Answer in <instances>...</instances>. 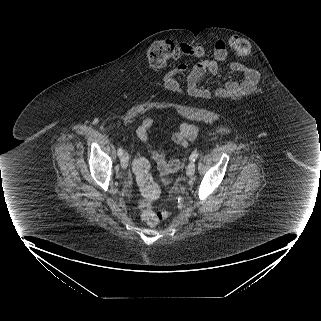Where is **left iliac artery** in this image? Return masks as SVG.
Returning <instances> with one entry per match:
<instances>
[{
    "label": "left iliac artery",
    "mask_w": 321,
    "mask_h": 321,
    "mask_svg": "<svg viewBox=\"0 0 321 321\" xmlns=\"http://www.w3.org/2000/svg\"><path fill=\"white\" fill-rule=\"evenodd\" d=\"M199 156V153L198 152H193L190 156V161H195Z\"/></svg>",
    "instance_id": "obj_1"
}]
</instances>
